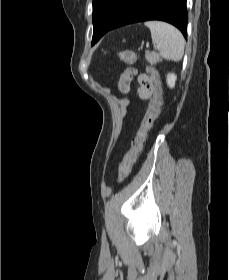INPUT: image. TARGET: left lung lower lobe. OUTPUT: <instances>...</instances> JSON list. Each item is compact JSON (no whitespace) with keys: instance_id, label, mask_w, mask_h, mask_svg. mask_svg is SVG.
Segmentation results:
<instances>
[{"instance_id":"obj_1","label":"left lung lower lobe","mask_w":229,"mask_h":280,"mask_svg":"<svg viewBox=\"0 0 229 280\" xmlns=\"http://www.w3.org/2000/svg\"><path fill=\"white\" fill-rule=\"evenodd\" d=\"M148 20L168 22L176 26L187 38L186 0H131L128 8L112 29ZM98 40L92 41V45Z\"/></svg>"}]
</instances>
